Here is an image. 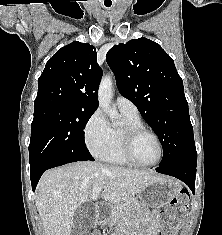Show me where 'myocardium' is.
<instances>
[{
	"label": "myocardium",
	"instance_id": "f54148a6",
	"mask_svg": "<svg viewBox=\"0 0 222 235\" xmlns=\"http://www.w3.org/2000/svg\"><path fill=\"white\" fill-rule=\"evenodd\" d=\"M142 134L151 135L159 146V156L152 163H141L134 156V145ZM120 148L124 159L136 167L148 168L153 167L161 162L164 156V147L160 137L150 128L143 124H126L120 130Z\"/></svg>",
	"mask_w": 222,
	"mask_h": 235
}]
</instances>
